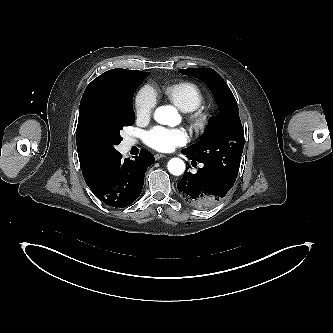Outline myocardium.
<instances>
[{
	"instance_id": "1",
	"label": "myocardium",
	"mask_w": 333,
	"mask_h": 333,
	"mask_svg": "<svg viewBox=\"0 0 333 333\" xmlns=\"http://www.w3.org/2000/svg\"><path fill=\"white\" fill-rule=\"evenodd\" d=\"M212 120V112L208 109L197 108L188 115V121L196 132L205 131Z\"/></svg>"
}]
</instances>
